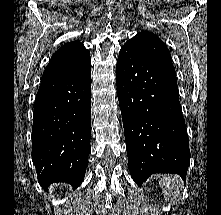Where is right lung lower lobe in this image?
<instances>
[{"instance_id":"right-lung-lower-lobe-1","label":"right lung lower lobe","mask_w":221,"mask_h":215,"mask_svg":"<svg viewBox=\"0 0 221 215\" xmlns=\"http://www.w3.org/2000/svg\"><path fill=\"white\" fill-rule=\"evenodd\" d=\"M91 58L41 80L34 106L32 161L44 187L83 181L91 151Z\"/></svg>"}]
</instances>
